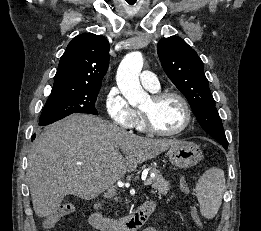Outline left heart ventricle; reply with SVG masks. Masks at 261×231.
Segmentation results:
<instances>
[{
  "label": "left heart ventricle",
  "mask_w": 261,
  "mask_h": 231,
  "mask_svg": "<svg viewBox=\"0 0 261 231\" xmlns=\"http://www.w3.org/2000/svg\"><path fill=\"white\" fill-rule=\"evenodd\" d=\"M150 112L154 124L163 131H174L184 122V110L179 100L173 97L166 98L155 104L149 98L141 107Z\"/></svg>",
  "instance_id": "1"
}]
</instances>
